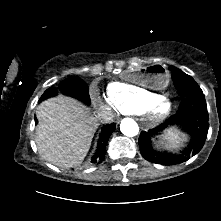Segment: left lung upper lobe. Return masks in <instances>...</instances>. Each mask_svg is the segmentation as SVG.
<instances>
[{"label":"left lung upper lobe","instance_id":"1","mask_svg":"<svg viewBox=\"0 0 221 221\" xmlns=\"http://www.w3.org/2000/svg\"><path fill=\"white\" fill-rule=\"evenodd\" d=\"M171 71L174 84L182 99L203 94V91L191 76L175 67H172ZM163 162V164H166V160Z\"/></svg>","mask_w":221,"mask_h":221}]
</instances>
